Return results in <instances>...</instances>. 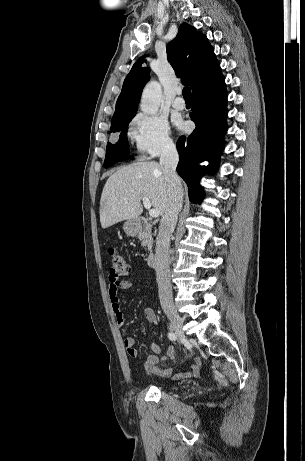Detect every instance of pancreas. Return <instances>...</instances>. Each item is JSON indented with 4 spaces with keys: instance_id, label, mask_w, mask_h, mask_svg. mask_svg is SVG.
Masks as SVG:
<instances>
[{
    "instance_id": "pancreas-1",
    "label": "pancreas",
    "mask_w": 305,
    "mask_h": 461,
    "mask_svg": "<svg viewBox=\"0 0 305 461\" xmlns=\"http://www.w3.org/2000/svg\"><path fill=\"white\" fill-rule=\"evenodd\" d=\"M141 245L143 247H148V250L151 252L152 251V246H153V239L152 238H144L141 242Z\"/></svg>"
}]
</instances>
